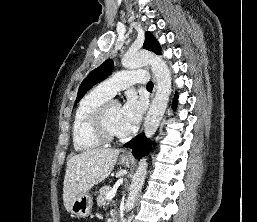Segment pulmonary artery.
<instances>
[{
  "instance_id": "1",
  "label": "pulmonary artery",
  "mask_w": 257,
  "mask_h": 222,
  "mask_svg": "<svg viewBox=\"0 0 257 222\" xmlns=\"http://www.w3.org/2000/svg\"><path fill=\"white\" fill-rule=\"evenodd\" d=\"M147 81L148 73L146 71H119L101 82L99 89L112 97L119 90L125 89L136 83L144 84Z\"/></svg>"
}]
</instances>
